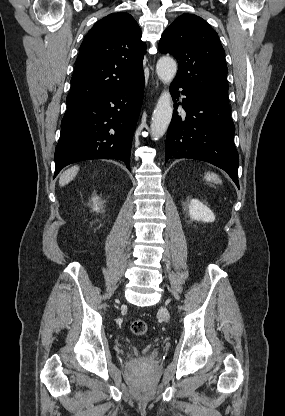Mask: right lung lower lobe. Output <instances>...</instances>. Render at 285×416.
<instances>
[{
    "label": "right lung lower lobe",
    "instance_id": "right-lung-lower-lobe-1",
    "mask_svg": "<svg viewBox=\"0 0 285 416\" xmlns=\"http://www.w3.org/2000/svg\"><path fill=\"white\" fill-rule=\"evenodd\" d=\"M144 77L100 100L67 108L55 149V175L90 159H118L130 170L132 138L139 117Z\"/></svg>",
    "mask_w": 285,
    "mask_h": 416
}]
</instances>
